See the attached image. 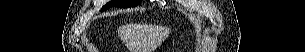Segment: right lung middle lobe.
Returning a JSON list of instances; mask_svg holds the SVG:
<instances>
[{"label": "right lung middle lobe", "mask_w": 305, "mask_h": 52, "mask_svg": "<svg viewBox=\"0 0 305 52\" xmlns=\"http://www.w3.org/2000/svg\"><path fill=\"white\" fill-rule=\"evenodd\" d=\"M140 2L141 1L114 0L103 6L101 11H104L110 7H122V8L133 7L138 5Z\"/></svg>", "instance_id": "right-lung-middle-lobe-1"}]
</instances>
